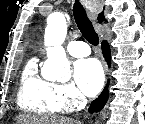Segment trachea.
<instances>
[{"mask_svg":"<svg viewBox=\"0 0 145 124\" xmlns=\"http://www.w3.org/2000/svg\"><path fill=\"white\" fill-rule=\"evenodd\" d=\"M73 14L76 24L82 33L83 37L92 45L97 46L99 38L94 30L92 22L89 20L85 9L79 1H76L73 6Z\"/></svg>","mask_w":145,"mask_h":124,"instance_id":"1","label":"trachea"}]
</instances>
